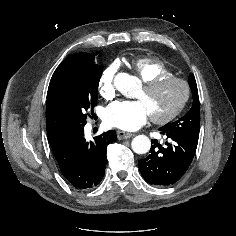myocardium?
<instances>
[{
	"instance_id": "myocardium-1",
	"label": "myocardium",
	"mask_w": 236,
	"mask_h": 236,
	"mask_svg": "<svg viewBox=\"0 0 236 236\" xmlns=\"http://www.w3.org/2000/svg\"><path fill=\"white\" fill-rule=\"evenodd\" d=\"M172 82L178 83L183 87V97L180 102L167 114L163 116L151 115V120L156 124H166L175 119L183 111L190 97V87L187 81L173 75L158 77L156 79L144 83L143 85V90L147 93H150L162 87L163 85Z\"/></svg>"
}]
</instances>
